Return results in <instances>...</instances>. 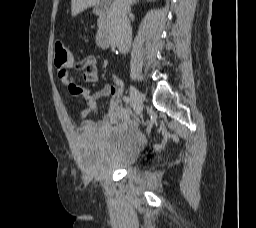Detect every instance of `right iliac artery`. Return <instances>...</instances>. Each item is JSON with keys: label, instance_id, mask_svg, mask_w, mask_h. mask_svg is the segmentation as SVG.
I'll list each match as a JSON object with an SVG mask.
<instances>
[{"label": "right iliac artery", "instance_id": "1", "mask_svg": "<svg viewBox=\"0 0 256 228\" xmlns=\"http://www.w3.org/2000/svg\"><path fill=\"white\" fill-rule=\"evenodd\" d=\"M123 101L126 103V104H131V98L129 96H124L123 97Z\"/></svg>", "mask_w": 256, "mask_h": 228}]
</instances>
